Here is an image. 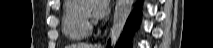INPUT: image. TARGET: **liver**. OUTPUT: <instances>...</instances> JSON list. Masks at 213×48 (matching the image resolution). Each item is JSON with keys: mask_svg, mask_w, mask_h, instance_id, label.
Instances as JSON below:
<instances>
[{"mask_svg": "<svg viewBox=\"0 0 213 48\" xmlns=\"http://www.w3.org/2000/svg\"><path fill=\"white\" fill-rule=\"evenodd\" d=\"M68 48H93V45L86 44V43H78V44H73Z\"/></svg>", "mask_w": 213, "mask_h": 48, "instance_id": "1", "label": "liver"}]
</instances>
